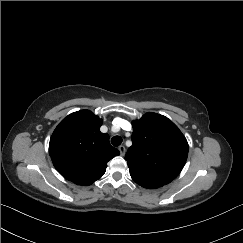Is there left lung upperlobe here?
I'll use <instances>...</instances> for the list:
<instances>
[{"label": "left lung upper lobe", "mask_w": 243, "mask_h": 243, "mask_svg": "<svg viewBox=\"0 0 243 243\" xmlns=\"http://www.w3.org/2000/svg\"><path fill=\"white\" fill-rule=\"evenodd\" d=\"M132 126V146L125 155L132 179L145 188L170 183L187 160L186 138L170 119L156 113H146Z\"/></svg>", "instance_id": "1"}]
</instances>
